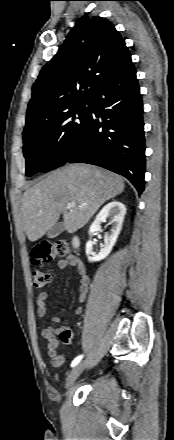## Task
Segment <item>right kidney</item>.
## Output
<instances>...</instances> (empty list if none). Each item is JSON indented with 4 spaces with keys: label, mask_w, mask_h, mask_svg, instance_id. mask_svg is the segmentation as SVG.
<instances>
[{
    "label": "right kidney",
    "mask_w": 174,
    "mask_h": 440,
    "mask_svg": "<svg viewBox=\"0 0 174 440\" xmlns=\"http://www.w3.org/2000/svg\"><path fill=\"white\" fill-rule=\"evenodd\" d=\"M126 214V207L124 204L118 201H112L105 205L102 210L96 216L94 222L89 228V235L91 236L96 231L100 230V225L106 220V218L111 219V230L110 233L105 234L104 242L105 245L97 255L90 256L93 249V241L90 239L86 243V255L90 262L100 261L105 259L111 252L113 246L116 243L118 235L120 234L124 216Z\"/></svg>",
    "instance_id": "ca27d5eb"
}]
</instances>
